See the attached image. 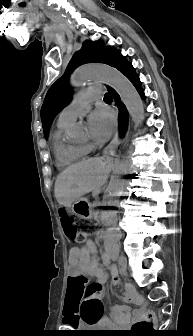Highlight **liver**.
<instances>
[{
  "instance_id": "6515ba94",
  "label": "liver",
  "mask_w": 193,
  "mask_h": 336,
  "mask_svg": "<svg viewBox=\"0 0 193 336\" xmlns=\"http://www.w3.org/2000/svg\"><path fill=\"white\" fill-rule=\"evenodd\" d=\"M112 168L110 159L89 158L69 166L55 181L54 194L57 202L65 207L90 192H99Z\"/></svg>"
}]
</instances>
